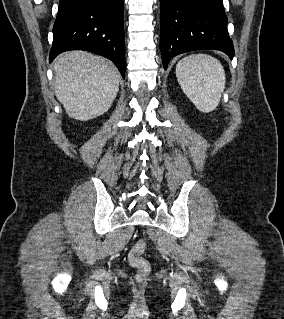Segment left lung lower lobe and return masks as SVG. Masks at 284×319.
Returning a JSON list of instances; mask_svg holds the SVG:
<instances>
[{
	"label": "left lung lower lobe",
	"instance_id": "1",
	"mask_svg": "<svg viewBox=\"0 0 284 319\" xmlns=\"http://www.w3.org/2000/svg\"><path fill=\"white\" fill-rule=\"evenodd\" d=\"M160 6V47L165 69L172 57L200 49L220 50L233 58L222 0H160Z\"/></svg>",
	"mask_w": 284,
	"mask_h": 319
}]
</instances>
